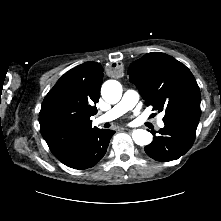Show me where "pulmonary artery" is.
<instances>
[{
    "instance_id": "obj_1",
    "label": "pulmonary artery",
    "mask_w": 221,
    "mask_h": 221,
    "mask_svg": "<svg viewBox=\"0 0 221 221\" xmlns=\"http://www.w3.org/2000/svg\"><path fill=\"white\" fill-rule=\"evenodd\" d=\"M139 101V94L134 90H127L124 94L122 99L118 104L112 107L110 110L102 114L100 117L97 118V123H106L116 118L120 117L127 111L131 110L135 107V105ZM158 121V125L160 127H164V122L161 120Z\"/></svg>"
}]
</instances>
